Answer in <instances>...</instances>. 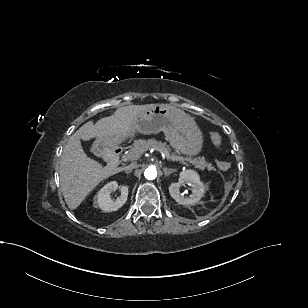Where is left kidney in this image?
Segmentation results:
<instances>
[{
    "instance_id": "1",
    "label": "left kidney",
    "mask_w": 308,
    "mask_h": 308,
    "mask_svg": "<svg viewBox=\"0 0 308 308\" xmlns=\"http://www.w3.org/2000/svg\"><path fill=\"white\" fill-rule=\"evenodd\" d=\"M184 184L191 186L192 194L185 197L180 194V187ZM171 197L181 205H194L200 201L205 193L204 184L200 181L198 173L193 170H185L180 173L179 181L169 186Z\"/></svg>"
}]
</instances>
